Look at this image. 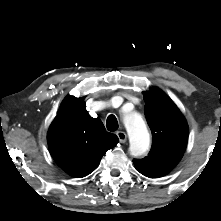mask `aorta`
Listing matches in <instances>:
<instances>
[{"label": "aorta", "instance_id": "aorta-1", "mask_svg": "<svg viewBox=\"0 0 221 221\" xmlns=\"http://www.w3.org/2000/svg\"><path fill=\"white\" fill-rule=\"evenodd\" d=\"M123 122L130 138V154H144L149 149L150 135L142 116L136 112H126Z\"/></svg>", "mask_w": 221, "mask_h": 221}]
</instances>
